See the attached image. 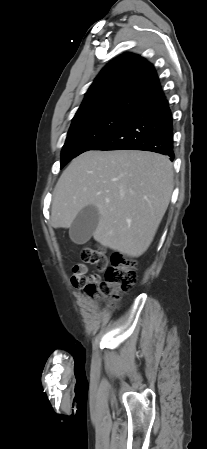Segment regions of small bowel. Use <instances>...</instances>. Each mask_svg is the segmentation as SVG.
<instances>
[{"mask_svg": "<svg viewBox=\"0 0 207 449\" xmlns=\"http://www.w3.org/2000/svg\"><path fill=\"white\" fill-rule=\"evenodd\" d=\"M87 273V266L83 263L75 264L72 267V276L70 282L74 286L80 285L85 280V274Z\"/></svg>", "mask_w": 207, "mask_h": 449, "instance_id": "1", "label": "small bowel"}]
</instances>
